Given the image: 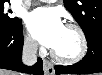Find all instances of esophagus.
<instances>
[{
    "mask_svg": "<svg viewBox=\"0 0 102 75\" xmlns=\"http://www.w3.org/2000/svg\"><path fill=\"white\" fill-rule=\"evenodd\" d=\"M43 70L46 75H53L54 74V66L51 62L47 60H43Z\"/></svg>",
    "mask_w": 102,
    "mask_h": 75,
    "instance_id": "obj_1",
    "label": "esophagus"
}]
</instances>
